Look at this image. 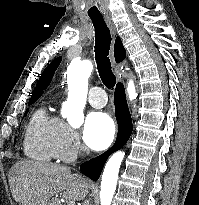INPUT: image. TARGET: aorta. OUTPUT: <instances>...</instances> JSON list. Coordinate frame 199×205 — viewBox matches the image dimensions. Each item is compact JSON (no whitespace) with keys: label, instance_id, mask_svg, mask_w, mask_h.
Wrapping results in <instances>:
<instances>
[{"label":"aorta","instance_id":"1","mask_svg":"<svg viewBox=\"0 0 199 205\" xmlns=\"http://www.w3.org/2000/svg\"><path fill=\"white\" fill-rule=\"evenodd\" d=\"M93 64L89 60H73L67 69L68 98L63 106V115L71 126H80L83 123V108L86 104L88 79L92 73ZM127 93L130 100L137 97L132 80L129 81ZM125 153L118 151L107 161L101 181V205H111L114 196L118 173Z\"/></svg>","mask_w":199,"mask_h":205}]
</instances>
